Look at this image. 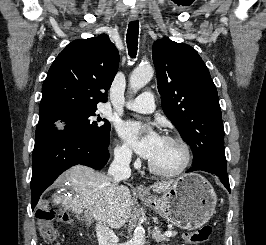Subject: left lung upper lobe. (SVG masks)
Returning a JSON list of instances; mask_svg holds the SVG:
<instances>
[{"instance_id":"1","label":"left lung upper lobe","mask_w":266,"mask_h":245,"mask_svg":"<svg viewBox=\"0 0 266 245\" xmlns=\"http://www.w3.org/2000/svg\"><path fill=\"white\" fill-rule=\"evenodd\" d=\"M153 62L163 111L190 145L192 166L227 171L217 89L201 57L163 38L153 44Z\"/></svg>"}]
</instances>
